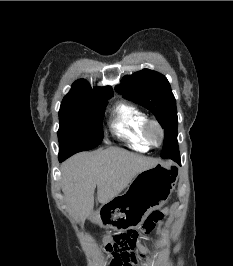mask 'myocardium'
<instances>
[{
    "label": "myocardium",
    "mask_w": 233,
    "mask_h": 266,
    "mask_svg": "<svg viewBox=\"0 0 233 266\" xmlns=\"http://www.w3.org/2000/svg\"><path fill=\"white\" fill-rule=\"evenodd\" d=\"M157 129L159 131L160 134V138L158 142H154L151 138V131L152 129ZM143 137L145 139V141L148 143L149 146L152 147H158L160 146L165 138V131L163 126L155 119H147V121L145 122L144 126H143Z\"/></svg>",
    "instance_id": "myocardium-1"
}]
</instances>
